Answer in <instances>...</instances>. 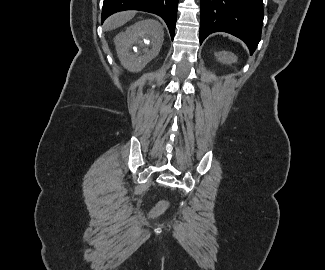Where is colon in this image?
I'll list each match as a JSON object with an SVG mask.
<instances>
[{
	"mask_svg": "<svg viewBox=\"0 0 325 270\" xmlns=\"http://www.w3.org/2000/svg\"><path fill=\"white\" fill-rule=\"evenodd\" d=\"M168 207V202L165 200L160 201L151 211L153 216H157L164 212Z\"/></svg>",
	"mask_w": 325,
	"mask_h": 270,
	"instance_id": "colon-1",
	"label": "colon"
}]
</instances>
